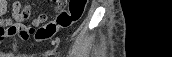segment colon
I'll return each mask as SVG.
<instances>
[{"mask_svg":"<svg viewBox=\"0 0 172 57\" xmlns=\"http://www.w3.org/2000/svg\"><path fill=\"white\" fill-rule=\"evenodd\" d=\"M65 1L57 0V5L64 4ZM87 0H70L66 9L60 11L54 21L45 24L43 32L39 38L48 40L52 38L58 30L65 29L78 22L85 10ZM30 13L29 8L23 10V14Z\"/></svg>","mask_w":172,"mask_h":57,"instance_id":"1","label":"colon"}]
</instances>
